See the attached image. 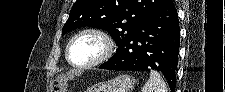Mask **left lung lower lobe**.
Masks as SVG:
<instances>
[{
  "label": "left lung lower lobe",
  "instance_id": "1",
  "mask_svg": "<svg viewBox=\"0 0 225 92\" xmlns=\"http://www.w3.org/2000/svg\"><path fill=\"white\" fill-rule=\"evenodd\" d=\"M180 28L177 9L167 0L137 29L109 61L99 66L109 70H157L166 78L171 91L176 86Z\"/></svg>",
  "mask_w": 225,
  "mask_h": 92
}]
</instances>
